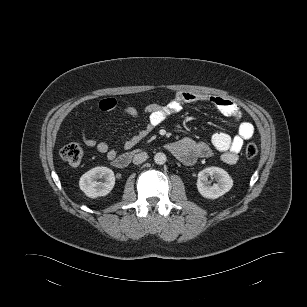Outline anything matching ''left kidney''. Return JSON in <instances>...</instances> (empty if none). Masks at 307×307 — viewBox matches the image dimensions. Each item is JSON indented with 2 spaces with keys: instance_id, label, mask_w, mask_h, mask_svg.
Here are the masks:
<instances>
[{
  "instance_id": "obj_1",
  "label": "left kidney",
  "mask_w": 307,
  "mask_h": 307,
  "mask_svg": "<svg viewBox=\"0 0 307 307\" xmlns=\"http://www.w3.org/2000/svg\"><path fill=\"white\" fill-rule=\"evenodd\" d=\"M209 177L215 178L217 183L210 185L208 182ZM196 185L199 193L203 197L217 199L232 188L233 180L224 169L211 166L198 173Z\"/></svg>"
}]
</instances>
